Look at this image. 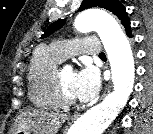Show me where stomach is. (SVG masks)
Segmentation results:
<instances>
[{"instance_id":"stomach-1","label":"stomach","mask_w":153,"mask_h":134,"mask_svg":"<svg viewBox=\"0 0 153 134\" xmlns=\"http://www.w3.org/2000/svg\"><path fill=\"white\" fill-rule=\"evenodd\" d=\"M15 134H31L29 130H17Z\"/></svg>"}]
</instances>
